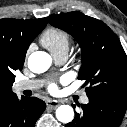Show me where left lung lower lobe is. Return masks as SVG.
Wrapping results in <instances>:
<instances>
[{
  "mask_svg": "<svg viewBox=\"0 0 127 127\" xmlns=\"http://www.w3.org/2000/svg\"><path fill=\"white\" fill-rule=\"evenodd\" d=\"M81 108L83 112L76 113L74 120L65 127H119L126 112L127 99L93 96Z\"/></svg>",
  "mask_w": 127,
  "mask_h": 127,
  "instance_id": "1",
  "label": "left lung lower lobe"
}]
</instances>
